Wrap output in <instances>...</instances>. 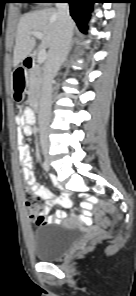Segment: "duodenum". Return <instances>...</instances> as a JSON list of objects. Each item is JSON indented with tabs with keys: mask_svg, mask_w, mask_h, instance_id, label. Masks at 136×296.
I'll list each match as a JSON object with an SVG mask.
<instances>
[{
	"mask_svg": "<svg viewBox=\"0 0 136 296\" xmlns=\"http://www.w3.org/2000/svg\"><path fill=\"white\" fill-rule=\"evenodd\" d=\"M33 65H34V59L32 57H27L23 61V66L18 68L15 71V78L19 83L24 82V73H25V71L32 69Z\"/></svg>",
	"mask_w": 136,
	"mask_h": 296,
	"instance_id": "1",
	"label": "duodenum"
}]
</instances>
